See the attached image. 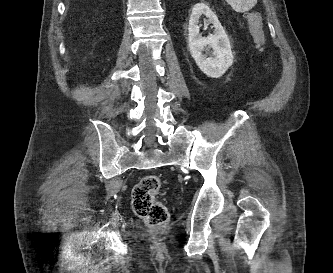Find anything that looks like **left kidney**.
Instances as JSON below:
<instances>
[{
	"mask_svg": "<svg viewBox=\"0 0 333 273\" xmlns=\"http://www.w3.org/2000/svg\"><path fill=\"white\" fill-rule=\"evenodd\" d=\"M205 15L208 23L213 24L214 33L202 37L200 17ZM188 45L191 56L199 69L209 77L220 78L233 64L230 40L215 13L204 3H197L192 9L188 26ZM213 49L210 57L203 54L204 50Z\"/></svg>",
	"mask_w": 333,
	"mask_h": 273,
	"instance_id": "obj_1",
	"label": "left kidney"
}]
</instances>
